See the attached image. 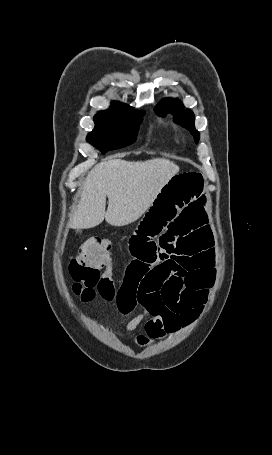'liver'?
I'll return each mask as SVG.
<instances>
[{"mask_svg":"<svg viewBox=\"0 0 272 455\" xmlns=\"http://www.w3.org/2000/svg\"><path fill=\"white\" fill-rule=\"evenodd\" d=\"M178 172L179 167L164 158L143 162L122 159L101 162L88 173L80 187L81 199L70 217V225L88 229L104 219L112 226L133 223Z\"/></svg>","mask_w":272,"mask_h":455,"instance_id":"1","label":"liver"}]
</instances>
